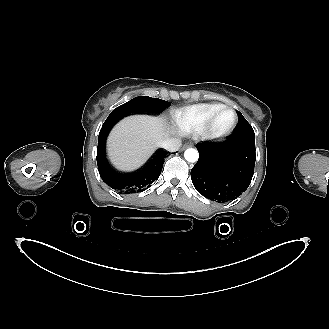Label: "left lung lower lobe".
Listing matches in <instances>:
<instances>
[{
  "instance_id": "left-lung-lower-lobe-1",
  "label": "left lung lower lobe",
  "mask_w": 329,
  "mask_h": 329,
  "mask_svg": "<svg viewBox=\"0 0 329 329\" xmlns=\"http://www.w3.org/2000/svg\"><path fill=\"white\" fill-rule=\"evenodd\" d=\"M199 159L191 170L196 190L210 200L228 202L251 183L255 166V134H237L220 143L197 144Z\"/></svg>"
}]
</instances>
